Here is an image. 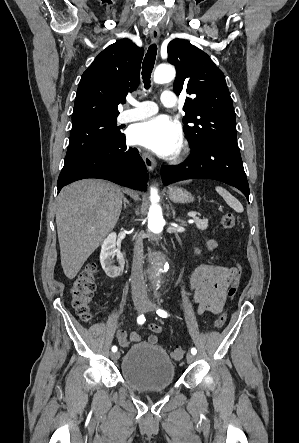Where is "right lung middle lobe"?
I'll return each instance as SVG.
<instances>
[{
    "mask_svg": "<svg viewBox=\"0 0 299 443\" xmlns=\"http://www.w3.org/2000/svg\"><path fill=\"white\" fill-rule=\"evenodd\" d=\"M64 165L102 146L110 145L123 136L116 117H95L73 123Z\"/></svg>",
    "mask_w": 299,
    "mask_h": 443,
    "instance_id": "obj_1",
    "label": "right lung middle lobe"
}]
</instances>
